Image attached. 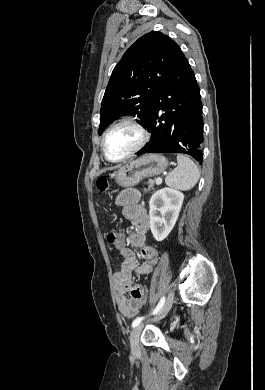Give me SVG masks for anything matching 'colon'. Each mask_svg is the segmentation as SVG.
I'll use <instances>...</instances> for the list:
<instances>
[{"label": "colon", "mask_w": 265, "mask_h": 390, "mask_svg": "<svg viewBox=\"0 0 265 390\" xmlns=\"http://www.w3.org/2000/svg\"><path fill=\"white\" fill-rule=\"evenodd\" d=\"M96 187L101 192L106 191L108 189V187H109L108 179L105 178V177L98 178L97 181H96ZM107 241H108V243L116 246L117 241H118V234H117V232L114 231V230L109 231L107 233ZM139 295H140L142 303H146L147 299H148L147 290L145 289L144 291L140 292Z\"/></svg>", "instance_id": "colon-1"}]
</instances>
